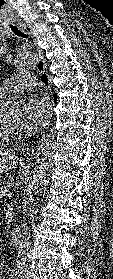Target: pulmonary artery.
<instances>
[{"mask_svg": "<svg viewBox=\"0 0 113 279\" xmlns=\"http://www.w3.org/2000/svg\"><path fill=\"white\" fill-rule=\"evenodd\" d=\"M35 86V78L28 73H16L0 84V93L8 98Z\"/></svg>", "mask_w": 113, "mask_h": 279, "instance_id": "obj_1", "label": "pulmonary artery"}]
</instances>
